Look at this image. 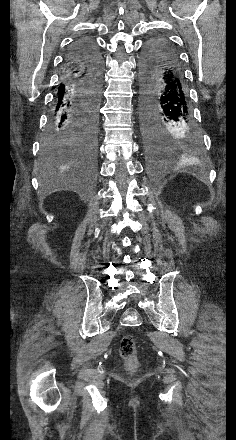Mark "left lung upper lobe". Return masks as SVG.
<instances>
[{"label":"left lung upper lobe","mask_w":236,"mask_h":440,"mask_svg":"<svg viewBox=\"0 0 236 440\" xmlns=\"http://www.w3.org/2000/svg\"><path fill=\"white\" fill-rule=\"evenodd\" d=\"M163 53L176 54L174 48L166 38L155 37L146 44L141 58V64L153 62L159 59Z\"/></svg>","instance_id":"5c2ea615"}]
</instances>
